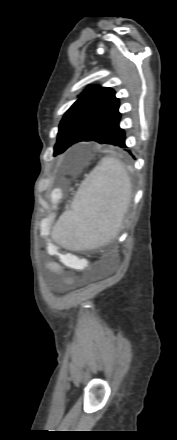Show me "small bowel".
Returning a JSON list of instances; mask_svg holds the SVG:
<instances>
[{
	"instance_id": "small-bowel-1",
	"label": "small bowel",
	"mask_w": 177,
	"mask_h": 440,
	"mask_svg": "<svg viewBox=\"0 0 177 440\" xmlns=\"http://www.w3.org/2000/svg\"><path fill=\"white\" fill-rule=\"evenodd\" d=\"M72 257H73V255H71V254H65V255H63V258H64L65 260H70ZM48 268H49L51 271L55 272V273H60V272H61V267H60V265H59L57 262H54V261H51V262L48 263Z\"/></svg>"
}]
</instances>
